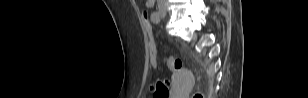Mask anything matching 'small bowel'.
Returning <instances> with one entry per match:
<instances>
[{
  "label": "small bowel",
  "instance_id": "obj_1",
  "mask_svg": "<svg viewBox=\"0 0 308 98\" xmlns=\"http://www.w3.org/2000/svg\"><path fill=\"white\" fill-rule=\"evenodd\" d=\"M147 8H152L154 6V0H148L145 3Z\"/></svg>",
  "mask_w": 308,
  "mask_h": 98
}]
</instances>
